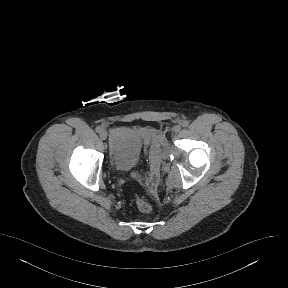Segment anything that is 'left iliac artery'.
Returning <instances> with one entry per match:
<instances>
[{"mask_svg": "<svg viewBox=\"0 0 288 288\" xmlns=\"http://www.w3.org/2000/svg\"><path fill=\"white\" fill-rule=\"evenodd\" d=\"M182 127H187L189 125V121L188 120H183L181 122Z\"/></svg>", "mask_w": 288, "mask_h": 288, "instance_id": "obj_1", "label": "left iliac artery"}]
</instances>
